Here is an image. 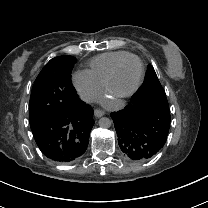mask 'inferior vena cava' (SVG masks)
Segmentation results:
<instances>
[{
	"mask_svg": "<svg viewBox=\"0 0 208 208\" xmlns=\"http://www.w3.org/2000/svg\"><path fill=\"white\" fill-rule=\"evenodd\" d=\"M79 96L81 100H83L86 103H92L94 96L89 92H80Z\"/></svg>",
	"mask_w": 208,
	"mask_h": 208,
	"instance_id": "602c4592",
	"label": "inferior vena cava"
}]
</instances>
